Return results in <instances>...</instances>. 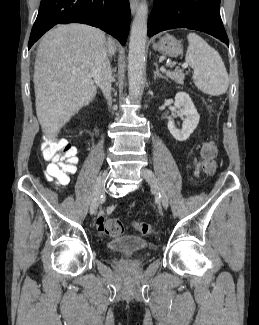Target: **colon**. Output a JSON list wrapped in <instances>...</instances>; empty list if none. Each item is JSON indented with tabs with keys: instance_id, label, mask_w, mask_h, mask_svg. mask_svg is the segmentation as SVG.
Here are the masks:
<instances>
[{
	"instance_id": "obj_1",
	"label": "colon",
	"mask_w": 259,
	"mask_h": 325,
	"mask_svg": "<svg viewBox=\"0 0 259 325\" xmlns=\"http://www.w3.org/2000/svg\"><path fill=\"white\" fill-rule=\"evenodd\" d=\"M76 148L64 139L55 138L47 140L42 145L43 157L50 161L46 169L49 180L55 181L57 185L68 183L69 176L76 170ZM217 147L213 140L206 141L201 149L203 159L202 166L206 174H213L216 170L215 156ZM135 228L144 235L153 232V226L145 222H136ZM104 230L111 236H120L124 232V224L118 218H111L105 223Z\"/></svg>"
}]
</instances>
